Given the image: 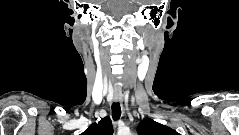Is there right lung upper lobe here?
<instances>
[{
    "mask_svg": "<svg viewBox=\"0 0 239 135\" xmlns=\"http://www.w3.org/2000/svg\"><path fill=\"white\" fill-rule=\"evenodd\" d=\"M113 133V127L109 117L101 119L97 123L91 124L86 131L81 135H111Z\"/></svg>",
    "mask_w": 239,
    "mask_h": 135,
    "instance_id": "obj_1",
    "label": "right lung upper lobe"
}]
</instances>
